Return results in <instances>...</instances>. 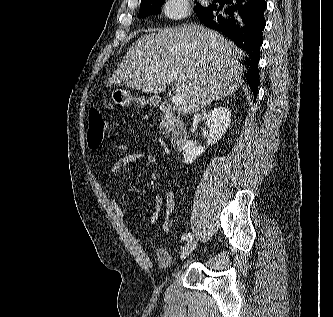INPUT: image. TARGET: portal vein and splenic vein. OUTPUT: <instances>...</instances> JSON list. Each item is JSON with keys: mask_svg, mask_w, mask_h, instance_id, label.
Returning <instances> with one entry per match:
<instances>
[{"mask_svg": "<svg viewBox=\"0 0 333 317\" xmlns=\"http://www.w3.org/2000/svg\"><path fill=\"white\" fill-rule=\"evenodd\" d=\"M172 103L176 106L181 105L182 103V97L179 93H176L175 95H173L172 97Z\"/></svg>", "mask_w": 333, "mask_h": 317, "instance_id": "18ae733b", "label": "portal vein and splenic vein"}]
</instances>
